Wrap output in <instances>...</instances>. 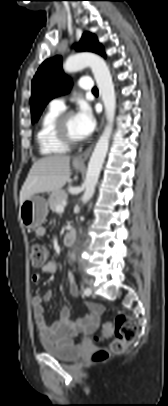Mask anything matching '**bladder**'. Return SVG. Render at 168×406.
<instances>
[{
    "instance_id": "31cf9c89",
    "label": "bladder",
    "mask_w": 168,
    "mask_h": 406,
    "mask_svg": "<svg viewBox=\"0 0 168 406\" xmlns=\"http://www.w3.org/2000/svg\"><path fill=\"white\" fill-rule=\"evenodd\" d=\"M41 344L46 353L63 362H73L77 360L83 352L81 347L72 344H50L46 341H42Z\"/></svg>"
}]
</instances>
